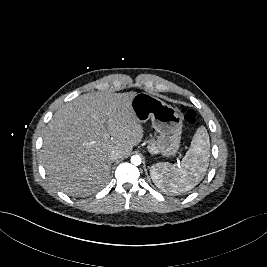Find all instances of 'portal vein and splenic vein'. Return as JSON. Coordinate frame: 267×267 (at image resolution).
<instances>
[{
    "mask_svg": "<svg viewBox=\"0 0 267 267\" xmlns=\"http://www.w3.org/2000/svg\"><path fill=\"white\" fill-rule=\"evenodd\" d=\"M105 138L107 139V138H109V136H108V135H106V136H105Z\"/></svg>",
    "mask_w": 267,
    "mask_h": 267,
    "instance_id": "1",
    "label": "portal vein and splenic vein"
}]
</instances>
